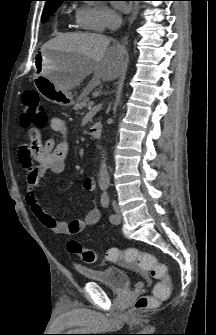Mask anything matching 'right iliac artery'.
Masks as SVG:
<instances>
[{"label": "right iliac artery", "instance_id": "right-iliac-artery-1", "mask_svg": "<svg viewBox=\"0 0 216 335\" xmlns=\"http://www.w3.org/2000/svg\"><path fill=\"white\" fill-rule=\"evenodd\" d=\"M105 188V185H101V189H104Z\"/></svg>", "mask_w": 216, "mask_h": 335}]
</instances>
